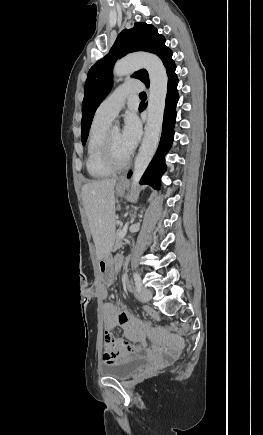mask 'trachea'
<instances>
[{"label":"trachea","instance_id":"1","mask_svg":"<svg viewBox=\"0 0 263 435\" xmlns=\"http://www.w3.org/2000/svg\"><path fill=\"white\" fill-rule=\"evenodd\" d=\"M139 96H140V97H146V93H145V92H141V93L139 94Z\"/></svg>","mask_w":263,"mask_h":435}]
</instances>
